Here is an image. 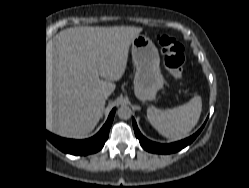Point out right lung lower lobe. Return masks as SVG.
<instances>
[{"label":"right lung lower lobe","instance_id":"obj_1","mask_svg":"<svg viewBox=\"0 0 249 188\" xmlns=\"http://www.w3.org/2000/svg\"><path fill=\"white\" fill-rule=\"evenodd\" d=\"M114 114L115 108L109 114V117L102 129L92 138L85 140L65 139L46 131V129L41 130L45 137L62 152L73 155H88L99 151L104 146V143L108 138Z\"/></svg>","mask_w":249,"mask_h":188}]
</instances>
